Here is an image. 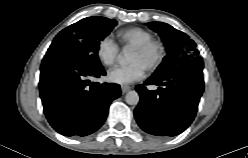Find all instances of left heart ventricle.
Wrapping results in <instances>:
<instances>
[{
	"label": "left heart ventricle",
	"mask_w": 248,
	"mask_h": 158,
	"mask_svg": "<svg viewBox=\"0 0 248 158\" xmlns=\"http://www.w3.org/2000/svg\"><path fill=\"white\" fill-rule=\"evenodd\" d=\"M154 55L152 52H139L132 50L129 58L130 63L139 62L144 65L146 68L153 61Z\"/></svg>",
	"instance_id": "left-heart-ventricle-1"
}]
</instances>
